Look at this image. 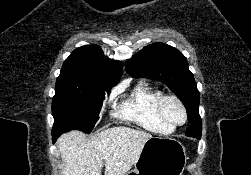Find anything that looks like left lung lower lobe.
Returning a JSON list of instances; mask_svg holds the SVG:
<instances>
[{
	"instance_id": "obj_1",
	"label": "left lung lower lobe",
	"mask_w": 251,
	"mask_h": 175,
	"mask_svg": "<svg viewBox=\"0 0 251 175\" xmlns=\"http://www.w3.org/2000/svg\"><path fill=\"white\" fill-rule=\"evenodd\" d=\"M187 114H188V120H190V118L192 117V114L189 112H187Z\"/></svg>"
}]
</instances>
